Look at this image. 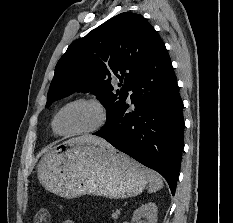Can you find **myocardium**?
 <instances>
[{"label":"myocardium","mask_w":233,"mask_h":223,"mask_svg":"<svg viewBox=\"0 0 233 223\" xmlns=\"http://www.w3.org/2000/svg\"><path fill=\"white\" fill-rule=\"evenodd\" d=\"M79 102H85V103H90L93 104L94 106L97 107V109L100 112L101 115V122L100 124L95 127L94 129L88 130V131H83V132H76V133H64L61 132L58 129V120L59 117L61 115V113L70 105L75 104V103H79ZM109 120V113L108 110L105 106V104L98 98L96 97H77L69 102H67L66 104H64L55 114L53 121H52V129L54 131L55 134L59 135V136H64V137H76V136H88V135H92L95 133L100 132L101 130H103L105 128V126L107 125Z\"/></svg>","instance_id":"obj_1"}]
</instances>
